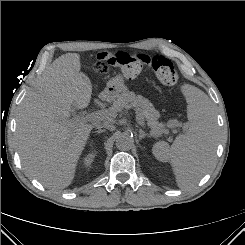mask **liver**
I'll list each match as a JSON object with an SVG mask.
<instances>
[{"mask_svg":"<svg viewBox=\"0 0 245 245\" xmlns=\"http://www.w3.org/2000/svg\"><path fill=\"white\" fill-rule=\"evenodd\" d=\"M80 55L57 58L37 80L21 103L16 144L26 171L48 188L64 189L93 125L70 119L73 108H86L92 85L81 71Z\"/></svg>","mask_w":245,"mask_h":245,"instance_id":"obj_1","label":"liver"}]
</instances>
